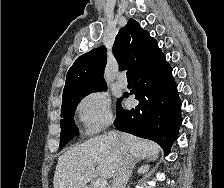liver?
Segmentation results:
<instances>
[{
    "label": "liver",
    "mask_w": 224,
    "mask_h": 188,
    "mask_svg": "<svg viewBox=\"0 0 224 188\" xmlns=\"http://www.w3.org/2000/svg\"><path fill=\"white\" fill-rule=\"evenodd\" d=\"M119 136L132 158L156 157L160 151V147L153 141L127 133H119ZM119 155V146L106 134L74 146L58 159L54 173V188H87L86 184L95 176L103 179L112 178Z\"/></svg>",
    "instance_id": "6515ba94"
}]
</instances>
